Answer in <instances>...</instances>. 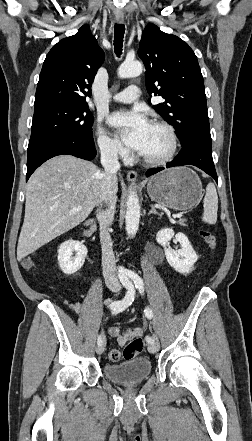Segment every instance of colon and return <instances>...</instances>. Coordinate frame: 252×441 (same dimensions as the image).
Here are the masks:
<instances>
[{
	"label": "colon",
	"mask_w": 252,
	"mask_h": 441,
	"mask_svg": "<svg viewBox=\"0 0 252 441\" xmlns=\"http://www.w3.org/2000/svg\"><path fill=\"white\" fill-rule=\"evenodd\" d=\"M200 235L203 237L204 241L208 244L210 248H214L216 245L215 236L206 230H201ZM26 268H30L33 265V261L30 258H27L23 262ZM143 341L140 337H135L132 341H130L122 351L118 349H112L108 358L112 362H117L121 358L130 359L137 356L143 350Z\"/></svg>",
	"instance_id": "1"
}]
</instances>
